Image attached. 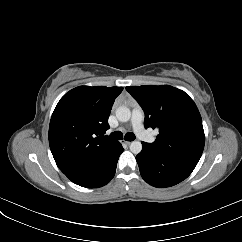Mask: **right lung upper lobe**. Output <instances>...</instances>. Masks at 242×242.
I'll list each match as a JSON object with an SVG mask.
<instances>
[{
	"instance_id": "obj_1",
	"label": "right lung upper lobe",
	"mask_w": 242,
	"mask_h": 242,
	"mask_svg": "<svg viewBox=\"0 0 242 242\" xmlns=\"http://www.w3.org/2000/svg\"><path fill=\"white\" fill-rule=\"evenodd\" d=\"M122 90L79 86L60 99L50 121L49 145L65 175L116 142L104 134L110 128L108 118L114 100Z\"/></svg>"
}]
</instances>
